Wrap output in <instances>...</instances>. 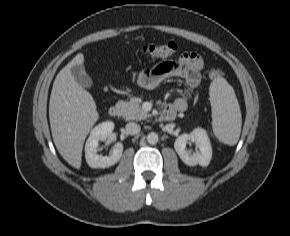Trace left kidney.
Returning <instances> with one entry per match:
<instances>
[{
    "label": "left kidney",
    "instance_id": "obj_1",
    "mask_svg": "<svg viewBox=\"0 0 290 236\" xmlns=\"http://www.w3.org/2000/svg\"><path fill=\"white\" fill-rule=\"evenodd\" d=\"M193 142L199 151L190 155L186 151V144ZM174 148L180 159L188 166H208L212 157V147L206 131L202 128L194 129L190 134L180 135L175 143Z\"/></svg>",
    "mask_w": 290,
    "mask_h": 236
}]
</instances>
